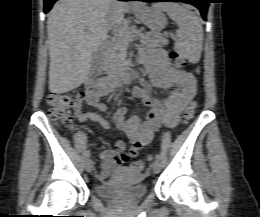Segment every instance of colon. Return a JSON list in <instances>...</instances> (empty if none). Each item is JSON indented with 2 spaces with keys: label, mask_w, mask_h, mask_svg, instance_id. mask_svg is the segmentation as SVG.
Instances as JSON below:
<instances>
[{
  "label": "colon",
  "mask_w": 260,
  "mask_h": 217,
  "mask_svg": "<svg viewBox=\"0 0 260 217\" xmlns=\"http://www.w3.org/2000/svg\"><path fill=\"white\" fill-rule=\"evenodd\" d=\"M170 60L176 67H183L187 64V59L177 52H171ZM83 95L81 94H50L47 98V102L50 105L48 116L51 120L59 125L73 129L74 121L70 113V108L78 103H82ZM197 110L196 102H191L186 107L183 113L184 122H189L195 115ZM146 162L142 160L135 161L133 163V169L137 172H141L145 169Z\"/></svg>",
  "instance_id": "obj_1"
}]
</instances>
